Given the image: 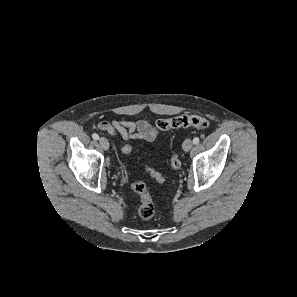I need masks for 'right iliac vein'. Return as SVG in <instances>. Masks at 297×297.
I'll return each instance as SVG.
<instances>
[{"mask_svg": "<svg viewBox=\"0 0 297 297\" xmlns=\"http://www.w3.org/2000/svg\"><path fill=\"white\" fill-rule=\"evenodd\" d=\"M99 144L100 146L104 149V150H108L109 149V142L106 138L101 137L99 139Z\"/></svg>", "mask_w": 297, "mask_h": 297, "instance_id": "63e3f726", "label": "right iliac vein"}]
</instances>
